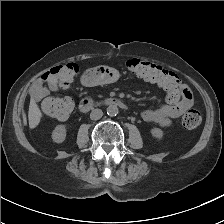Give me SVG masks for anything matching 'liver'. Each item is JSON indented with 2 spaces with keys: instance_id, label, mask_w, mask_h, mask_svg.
Returning a JSON list of instances; mask_svg holds the SVG:
<instances>
[{
  "instance_id": "1",
  "label": "liver",
  "mask_w": 224,
  "mask_h": 224,
  "mask_svg": "<svg viewBox=\"0 0 224 224\" xmlns=\"http://www.w3.org/2000/svg\"><path fill=\"white\" fill-rule=\"evenodd\" d=\"M41 117H42V113L40 109L38 108L35 99L31 95L29 111H28L29 127L35 128L39 124Z\"/></svg>"
}]
</instances>
